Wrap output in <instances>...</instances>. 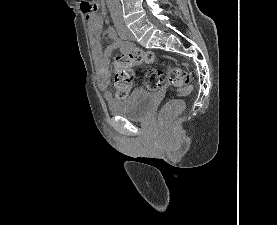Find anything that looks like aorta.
<instances>
[{"label": "aorta", "instance_id": "1", "mask_svg": "<svg viewBox=\"0 0 277 225\" xmlns=\"http://www.w3.org/2000/svg\"><path fill=\"white\" fill-rule=\"evenodd\" d=\"M108 8L111 17L114 21H119L122 18V9L119 0H107Z\"/></svg>", "mask_w": 277, "mask_h": 225}]
</instances>
